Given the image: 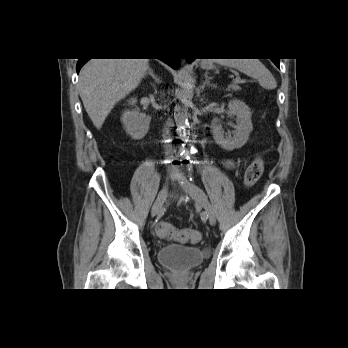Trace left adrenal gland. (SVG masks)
<instances>
[{
	"label": "left adrenal gland",
	"mask_w": 348,
	"mask_h": 348,
	"mask_svg": "<svg viewBox=\"0 0 348 348\" xmlns=\"http://www.w3.org/2000/svg\"><path fill=\"white\" fill-rule=\"evenodd\" d=\"M204 78H205V80L203 81L202 85L200 86L199 92L200 91L202 92L204 90L205 86H213V87L215 86L210 82V78L208 77L207 74L204 75Z\"/></svg>",
	"instance_id": "1"
}]
</instances>
